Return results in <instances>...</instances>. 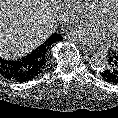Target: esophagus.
<instances>
[{"mask_svg": "<svg viewBox=\"0 0 118 118\" xmlns=\"http://www.w3.org/2000/svg\"><path fill=\"white\" fill-rule=\"evenodd\" d=\"M81 49L87 54H94V50L87 48L86 46L82 45Z\"/></svg>", "mask_w": 118, "mask_h": 118, "instance_id": "esophagus-1", "label": "esophagus"}]
</instances>
